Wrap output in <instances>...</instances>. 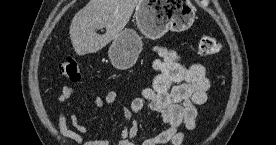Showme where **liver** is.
Wrapping results in <instances>:
<instances>
[{
    "mask_svg": "<svg viewBox=\"0 0 276 145\" xmlns=\"http://www.w3.org/2000/svg\"><path fill=\"white\" fill-rule=\"evenodd\" d=\"M140 0H90L73 17L69 34L78 55L95 53L113 40L128 23ZM106 28L100 35L98 29Z\"/></svg>",
    "mask_w": 276,
    "mask_h": 145,
    "instance_id": "1",
    "label": "liver"
}]
</instances>
